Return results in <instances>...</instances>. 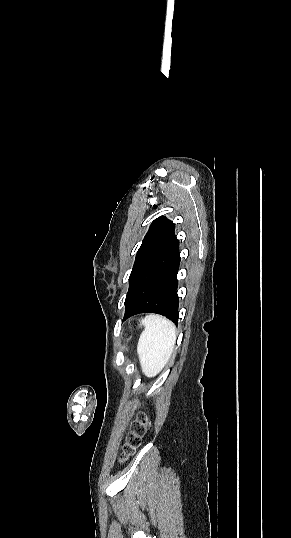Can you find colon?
<instances>
[{
  "label": "colon",
  "instance_id": "obj_1",
  "mask_svg": "<svg viewBox=\"0 0 291 538\" xmlns=\"http://www.w3.org/2000/svg\"><path fill=\"white\" fill-rule=\"evenodd\" d=\"M149 426V419L146 414H137L131 428L126 436L125 442L122 447L121 459L126 460L134 454L136 449L140 446L141 440L145 435Z\"/></svg>",
  "mask_w": 291,
  "mask_h": 538
}]
</instances>
